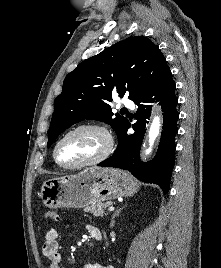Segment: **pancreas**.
I'll list each match as a JSON object with an SVG mask.
<instances>
[{"instance_id":"pancreas-1","label":"pancreas","mask_w":221,"mask_h":268,"mask_svg":"<svg viewBox=\"0 0 221 268\" xmlns=\"http://www.w3.org/2000/svg\"><path fill=\"white\" fill-rule=\"evenodd\" d=\"M110 205H111L110 202H105V203L99 202L97 204H93L92 206L85 207L84 211L90 212L94 216H103V215H107V213L104 211V209H106V207H108Z\"/></svg>"}]
</instances>
